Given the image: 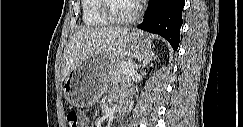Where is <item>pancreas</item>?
Listing matches in <instances>:
<instances>
[{
	"instance_id": "pancreas-1",
	"label": "pancreas",
	"mask_w": 243,
	"mask_h": 127,
	"mask_svg": "<svg viewBox=\"0 0 243 127\" xmlns=\"http://www.w3.org/2000/svg\"><path fill=\"white\" fill-rule=\"evenodd\" d=\"M133 64L128 60H121L114 64L109 70L108 78L110 80H120L122 78L129 79L131 75L123 74V70L126 68H132Z\"/></svg>"
}]
</instances>
